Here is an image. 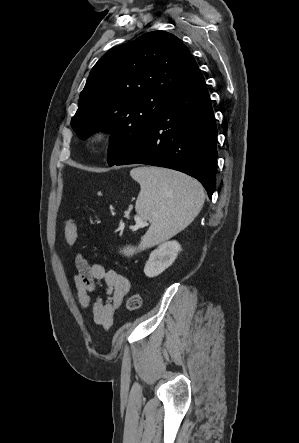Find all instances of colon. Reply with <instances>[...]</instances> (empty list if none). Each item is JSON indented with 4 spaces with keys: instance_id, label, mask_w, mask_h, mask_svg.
Segmentation results:
<instances>
[{
    "instance_id": "1",
    "label": "colon",
    "mask_w": 299,
    "mask_h": 443,
    "mask_svg": "<svg viewBox=\"0 0 299 443\" xmlns=\"http://www.w3.org/2000/svg\"><path fill=\"white\" fill-rule=\"evenodd\" d=\"M64 231L68 245L75 246L77 243V227L73 218L68 217L64 220ZM141 304L142 298L140 294L134 293L128 298L126 307L129 311L134 312L141 307Z\"/></svg>"
}]
</instances>
